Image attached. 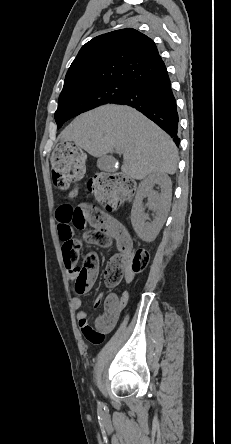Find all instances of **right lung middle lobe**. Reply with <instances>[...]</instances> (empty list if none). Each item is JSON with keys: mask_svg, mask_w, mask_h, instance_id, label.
I'll return each mask as SVG.
<instances>
[{"mask_svg": "<svg viewBox=\"0 0 231 444\" xmlns=\"http://www.w3.org/2000/svg\"><path fill=\"white\" fill-rule=\"evenodd\" d=\"M130 85L121 83L101 84L93 87L66 90L59 96L58 109L55 112V120L58 128L64 122L107 103H114L126 96L131 90Z\"/></svg>", "mask_w": 231, "mask_h": 444, "instance_id": "right-lung-middle-lobe-1", "label": "right lung middle lobe"}]
</instances>
